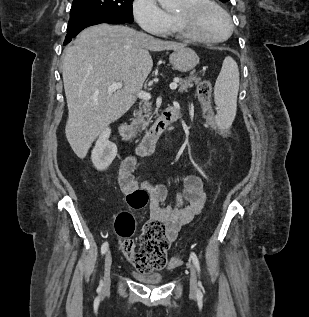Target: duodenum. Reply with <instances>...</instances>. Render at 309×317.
I'll return each mask as SVG.
<instances>
[{"instance_id":"1","label":"duodenum","mask_w":309,"mask_h":317,"mask_svg":"<svg viewBox=\"0 0 309 317\" xmlns=\"http://www.w3.org/2000/svg\"><path fill=\"white\" fill-rule=\"evenodd\" d=\"M178 118L179 112L175 107L170 106L164 109L154 124L147 131L140 144L136 147V152L141 156L152 154L161 134ZM119 133L125 141H131L132 133L126 124H122L119 127Z\"/></svg>"}]
</instances>
